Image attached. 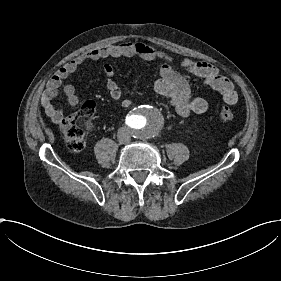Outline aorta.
Here are the masks:
<instances>
[{"mask_svg": "<svg viewBox=\"0 0 281 281\" xmlns=\"http://www.w3.org/2000/svg\"><path fill=\"white\" fill-rule=\"evenodd\" d=\"M127 124L138 138L157 135L164 125V116L156 107L142 104L133 109L127 117Z\"/></svg>", "mask_w": 281, "mask_h": 281, "instance_id": "762f6f07", "label": "aorta"}]
</instances>
